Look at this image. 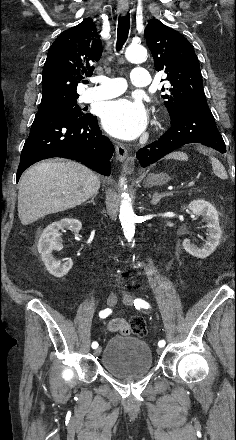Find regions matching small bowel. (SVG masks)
I'll list each match as a JSON object with an SVG mask.
<instances>
[{
    "label": "small bowel",
    "mask_w": 236,
    "mask_h": 440,
    "mask_svg": "<svg viewBox=\"0 0 236 440\" xmlns=\"http://www.w3.org/2000/svg\"><path fill=\"white\" fill-rule=\"evenodd\" d=\"M108 329L112 333H118L120 339H127L129 337L130 322L122 319H112L108 323Z\"/></svg>",
    "instance_id": "obj_1"
}]
</instances>
